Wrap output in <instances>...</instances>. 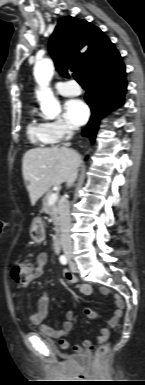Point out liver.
I'll return each instance as SVG.
<instances>
[{"mask_svg":"<svg viewBox=\"0 0 145 385\" xmlns=\"http://www.w3.org/2000/svg\"><path fill=\"white\" fill-rule=\"evenodd\" d=\"M80 163V155L67 147L28 150L23 156L22 173L27 182L31 204L35 205L52 186H60L67 181Z\"/></svg>","mask_w":145,"mask_h":385,"instance_id":"liver-1","label":"liver"}]
</instances>
